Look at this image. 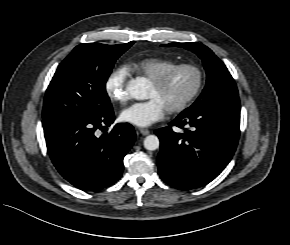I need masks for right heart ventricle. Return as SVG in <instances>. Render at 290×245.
Returning a JSON list of instances; mask_svg holds the SVG:
<instances>
[{
	"label": "right heart ventricle",
	"instance_id": "e07e8e85",
	"mask_svg": "<svg viewBox=\"0 0 290 245\" xmlns=\"http://www.w3.org/2000/svg\"><path fill=\"white\" fill-rule=\"evenodd\" d=\"M175 64L176 61L174 60L164 59L160 57H148L129 61L126 64V69L139 75H143L148 79L152 80L163 71Z\"/></svg>",
	"mask_w": 290,
	"mask_h": 245
}]
</instances>
